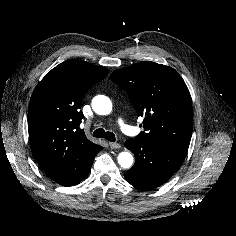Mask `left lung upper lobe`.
I'll list each match as a JSON object with an SVG mask.
<instances>
[{
    "label": "left lung upper lobe",
    "mask_w": 236,
    "mask_h": 236,
    "mask_svg": "<svg viewBox=\"0 0 236 236\" xmlns=\"http://www.w3.org/2000/svg\"><path fill=\"white\" fill-rule=\"evenodd\" d=\"M111 79L144 117L136 139L186 154L193 126L192 100L182 77L171 67L151 61L115 70Z\"/></svg>",
    "instance_id": "obj_1"
}]
</instances>
